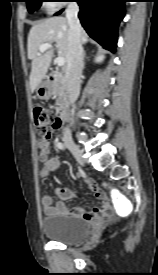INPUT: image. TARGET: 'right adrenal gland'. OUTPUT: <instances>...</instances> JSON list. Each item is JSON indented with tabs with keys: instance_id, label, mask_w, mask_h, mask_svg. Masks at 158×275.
Instances as JSON below:
<instances>
[{
	"instance_id": "right-adrenal-gland-1",
	"label": "right adrenal gland",
	"mask_w": 158,
	"mask_h": 275,
	"mask_svg": "<svg viewBox=\"0 0 158 275\" xmlns=\"http://www.w3.org/2000/svg\"><path fill=\"white\" fill-rule=\"evenodd\" d=\"M85 55H86V54H85V51H84V52H83V60L85 59Z\"/></svg>"
}]
</instances>
